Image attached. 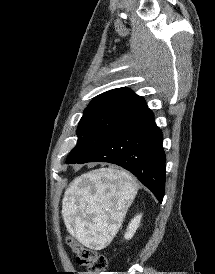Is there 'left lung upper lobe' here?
Segmentation results:
<instances>
[{"label": "left lung upper lobe", "instance_id": "1", "mask_svg": "<svg viewBox=\"0 0 215 274\" xmlns=\"http://www.w3.org/2000/svg\"><path fill=\"white\" fill-rule=\"evenodd\" d=\"M145 108L144 99L128 88L113 89L95 97L79 122L77 145L66 163L84 158L114 129Z\"/></svg>", "mask_w": 215, "mask_h": 274}]
</instances>
